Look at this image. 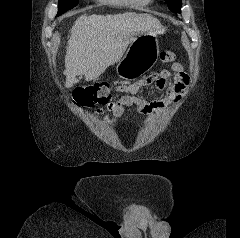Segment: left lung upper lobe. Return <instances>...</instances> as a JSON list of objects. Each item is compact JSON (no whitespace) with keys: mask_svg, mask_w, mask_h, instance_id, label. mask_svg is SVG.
<instances>
[{"mask_svg":"<svg viewBox=\"0 0 240 238\" xmlns=\"http://www.w3.org/2000/svg\"><path fill=\"white\" fill-rule=\"evenodd\" d=\"M169 9L173 12H181V0H165Z\"/></svg>","mask_w":240,"mask_h":238,"instance_id":"obj_1","label":"left lung upper lobe"}]
</instances>
